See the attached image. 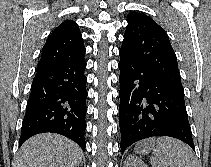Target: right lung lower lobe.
I'll return each instance as SVG.
<instances>
[{
	"instance_id": "obj_1",
	"label": "right lung lower lobe",
	"mask_w": 211,
	"mask_h": 167,
	"mask_svg": "<svg viewBox=\"0 0 211 167\" xmlns=\"http://www.w3.org/2000/svg\"><path fill=\"white\" fill-rule=\"evenodd\" d=\"M84 56L62 65L36 71L22 122L19 146L45 132L58 133L76 142L83 151L86 143V81Z\"/></svg>"
}]
</instances>
